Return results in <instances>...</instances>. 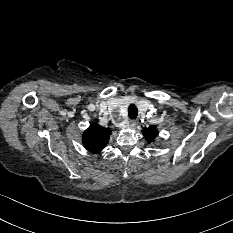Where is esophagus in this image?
<instances>
[{"label": "esophagus", "instance_id": "1", "mask_svg": "<svg viewBox=\"0 0 233 233\" xmlns=\"http://www.w3.org/2000/svg\"><path fill=\"white\" fill-rule=\"evenodd\" d=\"M137 125V121L136 120H130L129 122V127L130 128H134Z\"/></svg>", "mask_w": 233, "mask_h": 233}]
</instances>
